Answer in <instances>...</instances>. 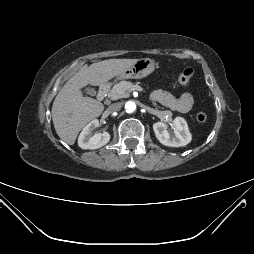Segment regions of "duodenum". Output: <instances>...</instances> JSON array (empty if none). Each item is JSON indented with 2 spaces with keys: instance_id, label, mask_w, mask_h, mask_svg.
Segmentation results:
<instances>
[{
  "instance_id": "410a0bca",
  "label": "duodenum",
  "mask_w": 254,
  "mask_h": 254,
  "mask_svg": "<svg viewBox=\"0 0 254 254\" xmlns=\"http://www.w3.org/2000/svg\"><path fill=\"white\" fill-rule=\"evenodd\" d=\"M107 91H108V87L103 85L101 87H99V90H98V98L100 100L104 99L106 94H107Z\"/></svg>"
}]
</instances>
